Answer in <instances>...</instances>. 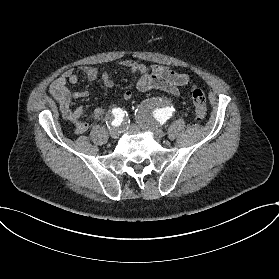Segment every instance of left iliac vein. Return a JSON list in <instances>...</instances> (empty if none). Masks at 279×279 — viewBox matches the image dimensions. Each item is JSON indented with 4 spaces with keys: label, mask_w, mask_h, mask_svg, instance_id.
Listing matches in <instances>:
<instances>
[{
    "label": "left iliac vein",
    "mask_w": 279,
    "mask_h": 279,
    "mask_svg": "<svg viewBox=\"0 0 279 279\" xmlns=\"http://www.w3.org/2000/svg\"><path fill=\"white\" fill-rule=\"evenodd\" d=\"M147 130L151 131L155 136L157 137H163L165 135V132L162 128H160V125H147Z\"/></svg>",
    "instance_id": "1"
}]
</instances>
